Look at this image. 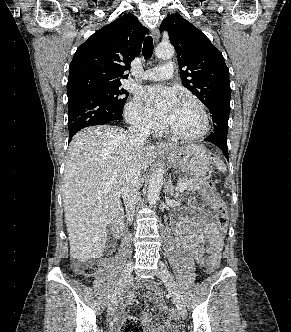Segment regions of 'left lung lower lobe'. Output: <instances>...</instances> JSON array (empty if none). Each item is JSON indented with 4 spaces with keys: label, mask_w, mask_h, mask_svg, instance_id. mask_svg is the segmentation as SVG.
Segmentation results:
<instances>
[{
    "label": "left lung lower lobe",
    "mask_w": 291,
    "mask_h": 332,
    "mask_svg": "<svg viewBox=\"0 0 291 332\" xmlns=\"http://www.w3.org/2000/svg\"><path fill=\"white\" fill-rule=\"evenodd\" d=\"M209 111L214 122V130L205 140L219 147L228 160L227 132L230 101L220 100Z\"/></svg>",
    "instance_id": "left-lung-lower-lobe-1"
}]
</instances>
